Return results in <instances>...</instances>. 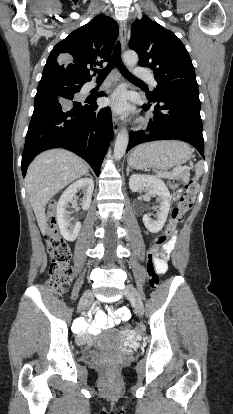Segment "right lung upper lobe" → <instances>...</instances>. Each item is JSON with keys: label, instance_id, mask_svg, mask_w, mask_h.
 <instances>
[{"label": "right lung upper lobe", "instance_id": "obj_1", "mask_svg": "<svg viewBox=\"0 0 233 414\" xmlns=\"http://www.w3.org/2000/svg\"><path fill=\"white\" fill-rule=\"evenodd\" d=\"M118 36V25L110 17L98 15L70 33L51 51L42 78L70 79L86 83L89 69L107 62Z\"/></svg>", "mask_w": 233, "mask_h": 414}]
</instances>
